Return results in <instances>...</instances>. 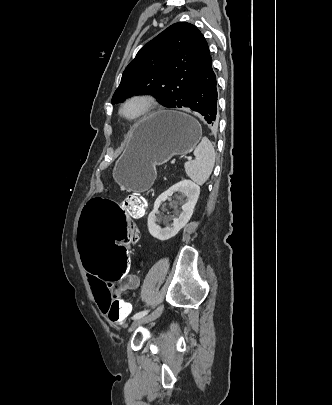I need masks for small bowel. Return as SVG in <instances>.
Wrapping results in <instances>:
<instances>
[{
	"label": "small bowel",
	"instance_id": "small-bowel-1",
	"mask_svg": "<svg viewBox=\"0 0 332 405\" xmlns=\"http://www.w3.org/2000/svg\"><path fill=\"white\" fill-rule=\"evenodd\" d=\"M131 215L132 217H135L136 213L134 214L131 213ZM88 278L95 302L97 303L101 312L106 314V306L109 301V292L108 290H106L104 285L108 281H102V278L99 275H88ZM139 284H140L139 277L136 276L135 274L129 273L128 275H123L122 281H118L116 286L111 287V290H115L117 293H123L127 290L137 289ZM127 306L131 307L129 303H127Z\"/></svg>",
	"mask_w": 332,
	"mask_h": 405
}]
</instances>
